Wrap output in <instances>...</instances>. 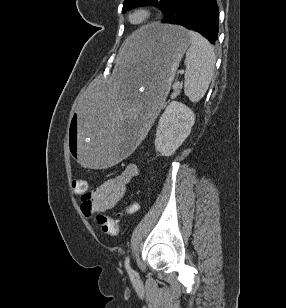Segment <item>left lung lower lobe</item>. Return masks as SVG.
<instances>
[{
  "instance_id": "left-lung-lower-lobe-1",
  "label": "left lung lower lobe",
  "mask_w": 286,
  "mask_h": 308,
  "mask_svg": "<svg viewBox=\"0 0 286 308\" xmlns=\"http://www.w3.org/2000/svg\"><path fill=\"white\" fill-rule=\"evenodd\" d=\"M218 16L216 0H172L162 23L197 31L214 44L218 35Z\"/></svg>"
}]
</instances>
